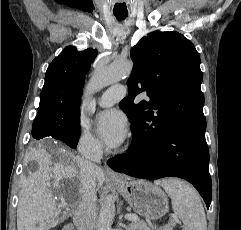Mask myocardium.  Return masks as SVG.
I'll use <instances>...</instances> for the list:
<instances>
[{
	"mask_svg": "<svg viewBox=\"0 0 241 230\" xmlns=\"http://www.w3.org/2000/svg\"><path fill=\"white\" fill-rule=\"evenodd\" d=\"M128 148H129V146H128V145H126V146H124V147L121 149V151H122V152H125V151H127V150H128Z\"/></svg>",
	"mask_w": 241,
	"mask_h": 230,
	"instance_id": "f54148a6",
	"label": "myocardium"
}]
</instances>
